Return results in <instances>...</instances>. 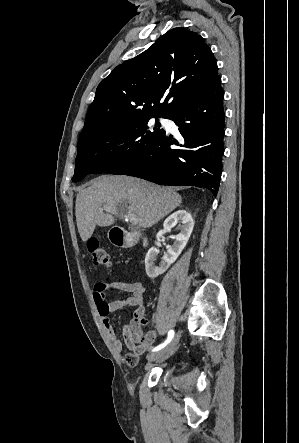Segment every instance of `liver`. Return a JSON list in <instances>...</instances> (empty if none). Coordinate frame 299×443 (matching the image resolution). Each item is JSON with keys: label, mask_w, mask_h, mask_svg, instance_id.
I'll list each match as a JSON object with an SVG mask.
<instances>
[{"label": "liver", "mask_w": 299, "mask_h": 443, "mask_svg": "<svg viewBox=\"0 0 299 443\" xmlns=\"http://www.w3.org/2000/svg\"><path fill=\"white\" fill-rule=\"evenodd\" d=\"M182 202L178 193L144 180L102 175L79 191L75 215L78 232L86 242L96 225L109 226L116 217L134 214L141 228H150L176 209ZM109 208L115 212H105Z\"/></svg>", "instance_id": "1"}]
</instances>
